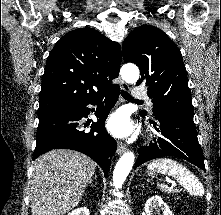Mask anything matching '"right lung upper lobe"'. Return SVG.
I'll list each match as a JSON object with an SVG mask.
<instances>
[{"mask_svg":"<svg viewBox=\"0 0 221 215\" xmlns=\"http://www.w3.org/2000/svg\"><path fill=\"white\" fill-rule=\"evenodd\" d=\"M121 46L92 28L65 34L50 52L40 92L38 117L68 111L117 85Z\"/></svg>","mask_w":221,"mask_h":215,"instance_id":"right-lung-upper-lobe-1","label":"right lung upper lobe"}]
</instances>
